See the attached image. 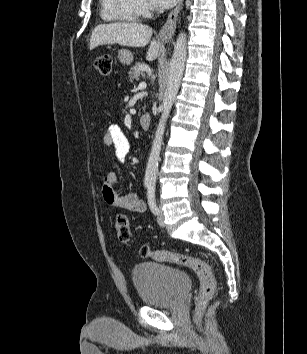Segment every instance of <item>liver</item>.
<instances>
[{
  "instance_id": "obj_1",
  "label": "liver",
  "mask_w": 307,
  "mask_h": 354,
  "mask_svg": "<svg viewBox=\"0 0 307 354\" xmlns=\"http://www.w3.org/2000/svg\"><path fill=\"white\" fill-rule=\"evenodd\" d=\"M152 29L141 23L118 22L101 24L95 27L90 38L89 48L100 45L119 44L127 47H145L150 42ZM161 44L153 39L148 48L146 59L153 61L160 53Z\"/></svg>"
}]
</instances>
